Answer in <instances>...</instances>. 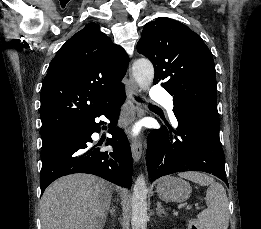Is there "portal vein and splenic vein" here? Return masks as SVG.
<instances>
[{
	"label": "portal vein and splenic vein",
	"instance_id": "1",
	"mask_svg": "<svg viewBox=\"0 0 261 229\" xmlns=\"http://www.w3.org/2000/svg\"><path fill=\"white\" fill-rule=\"evenodd\" d=\"M179 207L181 210H184L185 208L191 209V207L199 208L200 204L199 203H195V204L181 203V204H179ZM172 217H174V218L178 217V209H175L173 211Z\"/></svg>",
	"mask_w": 261,
	"mask_h": 229
}]
</instances>
